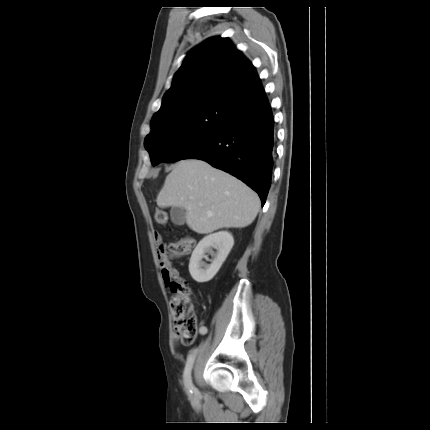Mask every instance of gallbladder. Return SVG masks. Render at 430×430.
Here are the masks:
<instances>
[{
	"label": "gallbladder",
	"mask_w": 430,
	"mask_h": 430,
	"mask_svg": "<svg viewBox=\"0 0 430 430\" xmlns=\"http://www.w3.org/2000/svg\"><path fill=\"white\" fill-rule=\"evenodd\" d=\"M171 220L175 225H183L186 221V210L182 207H172L170 210Z\"/></svg>",
	"instance_id": "bac80fb5"
}]
</instances>
